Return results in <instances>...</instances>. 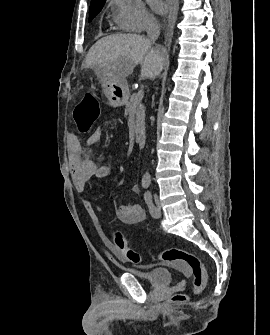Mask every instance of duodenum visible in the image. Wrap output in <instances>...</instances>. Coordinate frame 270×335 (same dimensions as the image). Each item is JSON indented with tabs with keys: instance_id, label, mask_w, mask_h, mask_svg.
Listing matches in <instances>:
<instances>
[{
	"instance_id": "1",
	"label": "duodenum",
	"mask_w": 270,
	"mask_h": 335,
	"mask_svg": "<svg viewBox=\"0 0 270 335\" xmlns=\"http://www.w3.org/2000/svg\"><path fill=\"white\" fill-rule=\"evenodd\" d=\"M136 143L140 148H144L146 145V136L143 132H139L135 137Z\"/></svg>"
}]
</instances>
